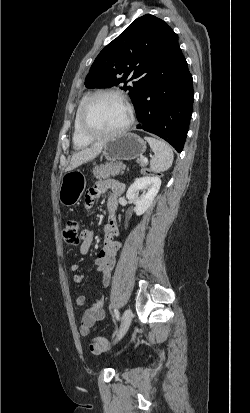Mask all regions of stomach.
I'll list each match as a JSON object with an SVG mask.
<instances>
[{
	"label": "stomach",
	"instance_id": "0dacf381",
	"mask_svg": "<svg viewBox=\"0 0 250 413\" xmlns=\"http://www.w3.org/2000/svg\"><path fill=\"white\" fill-rule=\"evenodd\" d=\"M146 151V142L134 133H125L105 140L103 156L108 161L133 160L142 157ZM86 187L85 177L81 172L69 171L64 174L59 189V200L64 206L75 205Z\"/></svg>",
	"mask_w": 250,
	"mask_h": 413
}]
</instances>
